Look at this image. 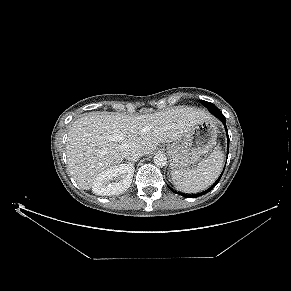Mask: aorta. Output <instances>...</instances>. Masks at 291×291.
Masks as SVG:
<instances>
[{"mask_svg": "<svg viewBox=\"0 0 291 291\" xmlns=\"http://www.w3.org/2000/svg\"><path fill=\"white\" fill-rule=\"evenodd\" d=\"M153 159L154 164L158 167H164L167 164V157L162 153H157Z\"/></svg>", "mask_w": 291, "mask_h": 291, "instance_id": "1", "label": "aorta"}]
</instances>
